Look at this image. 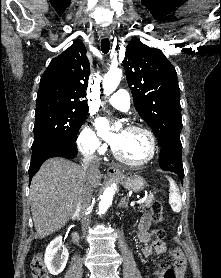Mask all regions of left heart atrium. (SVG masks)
<instances>
[{
	"label": "left heart atrium",
	"mask_w": 221,
	"mask_h": 278,
	"mask_svg": "<svg viewBox=\"0 0 221 278\" xmlns=\"http://www.w3.org/2000/svg\"><path fill=\"white\" fill-rule=\"evenodd\" d=\"M99 126L101 128L104 138L112 145L117 146L123 138V132L110 133L107 129V122L105 119H99Z\"/></svg>",
	"instance_id": "39dd6f15"
}]
</instances>
